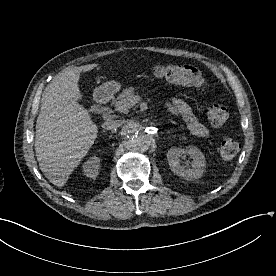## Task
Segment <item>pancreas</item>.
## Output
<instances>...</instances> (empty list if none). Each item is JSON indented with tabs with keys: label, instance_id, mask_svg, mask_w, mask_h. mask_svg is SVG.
<instances>
[{
	"label": "pancreas",
	"instance_id": "1",
	"mask_svg": "<svg viewBox=\"0 0 276 276\" xmlns=\"http://www.w3.org/2000/svg\"><path fill=\"white\" fill-rule=\"evenodd\" d=\"M133 97H135V90L131 87L126 88L119 94V96L114 100V102L117 106L120 103H124L125 101Z\"/></svg>",
	"mask_w": 276,
	"mask_h": 276
}]
</instances>
